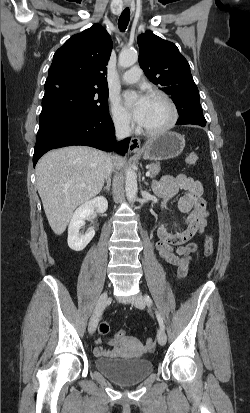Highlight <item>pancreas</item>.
Wrapping results in <instances>:
<instances>
[{"instance_id":"pancreas-1","label":"pancreas","mask_w":250,"mask_h":413,"mask_svg":"<svg viewBox=\"0 0 250 413\" xmlns=\"http://www.w3.org/2000/svg\"><path fill=\"white\" fill-rule=\"evenodd\" d=\"M149 171L151 173L150 177L154 178L160 172V163L152 164Z\"/></svg>"}]
</instances>
